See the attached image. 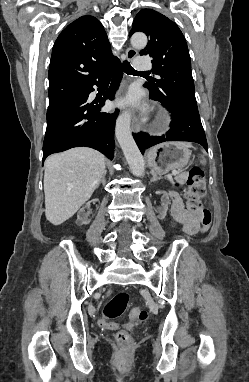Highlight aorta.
<instances>
[{"label": "aorta", "instance_id": "1", "mask_svg": "<svg viewBox=\"0 0 249 382\" xmlns=\"http://www.w3.org/2000/svg\"><path fill=\"white\" fill-rule=\"evenodd\" d=\"M131 44L137 49H142L147 45V37L143 33H135L131 37ZM131 114L128 111L119 115L116 120L115 135L128 165L135 176L141 177L145 172L143 156L137 147L130 129Z\"/></svg>", "mask_w": 249, "mask_h": 382}]
</instances>
